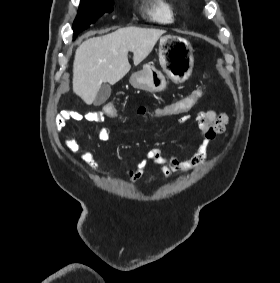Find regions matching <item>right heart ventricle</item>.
Listing matches in <instances>:
<instances>
[{
	"mask_svg": "<svg viewBox=\"0 0 280 283\" xmlns=\"http://www.w3.org/2000/svg\"><path fill=\"white\" fill-rule=\"evenodd\" d=\"M147 14L155 21L170 23L175 19V3L172 0H152Z\"/></svg>",
	"mask_w": 280,
	"mask_h": 283,
	"instance_id": "right-heart-ventricle-1",
	"label": "right heart ventricle"
}]
</instances>
